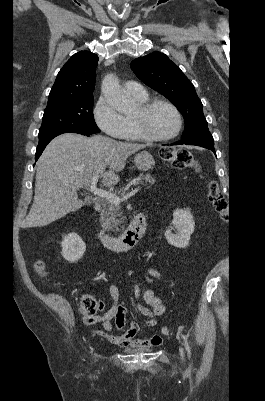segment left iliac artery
<instances>
[{"mask_svg":"<svg viewBox=\"0 0 265 401\" xmlns=\"http://www.w3.org/2000/svg\"><path fill=\"white\" fill-rule=\"evenodd\" d=\"M183 340H184V344H185L188 356L190 357L191 356L190 346H189L187 337L185 335H183Z\"/></svg>","mask_w":265,"mask_h":401,"instance_id":"left-iliac-artery-1","label":"left iliac artery"}]
</instances>
